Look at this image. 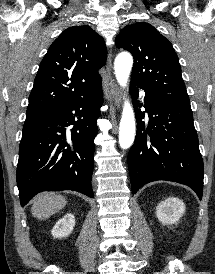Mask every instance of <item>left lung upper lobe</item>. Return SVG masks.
Segmentation results:
<instances>
[{"label": "left lung upper lobe", "instance_id": "1", "mask_svg": "<svg viewBox=\"0 0 215 274\" xmlns=\"http://www.w3.org/2000/svg\"><path fill=\"white\" fill-rule=\"evenodd\" d=\"M116 46L134 57L131 83L178 105L190 107L178 57L168 39L144 22L125 26Z\"/></svg>", "mask_w": 215, "mask_h": 274}]
</instances>
